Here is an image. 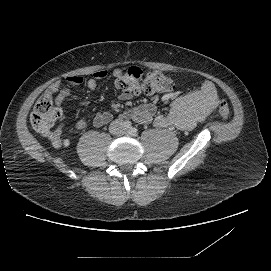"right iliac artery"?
<instances>
[{"instance_id": "obj_1", "label": "right iliac artery", "mask_w": 271, "mask_h": 271, "mask_svg": "<svg viewBox=\"0 0 271 271\" xmlns=\"http://www.w3.org/2000/svg\"><path fill=\"white\" fill-rule=\"evenodd\" d=\"M124 127H125V129L131 128V122L126 121V122L124 123Z\"/></svg>"}]
</instances>
